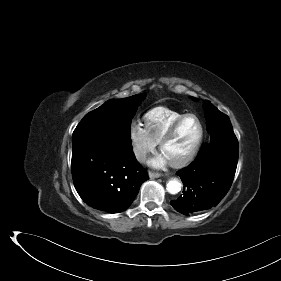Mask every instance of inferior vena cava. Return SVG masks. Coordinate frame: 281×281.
Segmentation results:
<instances>
[{"instance_id": "1", "label": "inferior vena cava", "mask_w": 281, "mask_h": 281, "mask_svg": "<svg viewBox=\"0 0 281 281\" xmlns=\"http://www.w3.org/2000/svg\"><path fill=\"white\" fill-rule=\"evenodd\" d=\"M134 153L139 161H144L147 158V153L143 149L135 148Z\"/></svg>"}]
</instances>
